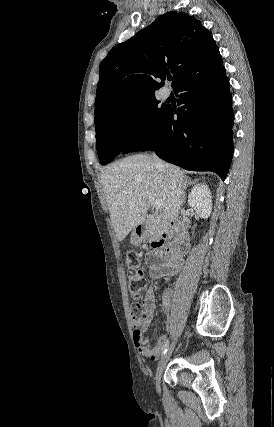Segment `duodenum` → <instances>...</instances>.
I'll list each match as a JSON object with an SVG mask.
<instances>
[{
    "mask_svg": "<svg viewBox=\"0 0 274 427\" xmlns=\"http://www.w3.org/2000/svg\"><path fill=\"white\" fill-rule=\"evenodd\" d=\"M156 223H159L162 227V232L159 238L157 239L156 244L159 247L167 248L170 244L171 239H173L176 236V234L180 229V224L177 221L165 223L162 218H158V219L150 218L137 226L136 228L137 234L142 235L148 226Z\"/></svg>",
    "mask_w": 274,
    "mask_h": 427,
    "instance_id": "duodenum-1",
    "label": "duodenum"
}]
</instances>
